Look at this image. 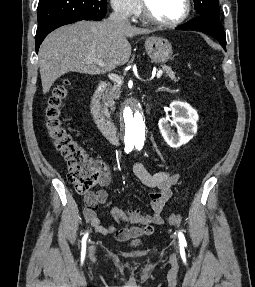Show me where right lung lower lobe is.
Segmentation results:
<instances>
[{
	"mask_svg": "<svg viewBox=\"0 0 255 287\" xmlns=\"http://www.w3.org/2000/svg\"><path fill=\"white\" fill-rule=\"evenodd\" d=\"M81 20H86L84 18H80V17H66V18H61L58 20H54L48 23H44L41 25H38L37 28V32H36V36H35V40H36V52L38 53V49L40 44L42 43V41L44 40V38L54 29L66 25V24H70V23H74L76 21H81Z\"/></svg>",
	"mask_w": 255,
	"mask_h": 287,
	"instance_id": "right-lung-lower-lobe-1",
	"label": "right lung lower lobe"
}]
</instances>
